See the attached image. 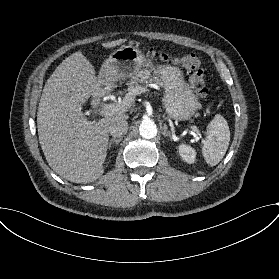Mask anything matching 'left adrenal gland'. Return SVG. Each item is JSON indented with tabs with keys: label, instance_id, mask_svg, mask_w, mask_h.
<instances>
[{
	"label": "left adrenal gland",
	"instance_id": "1",
	"mask_svg": "<svg viewBox=\"0 0 279 279\" xmlns=\"http://www.w3.org/2000/svg\"><path fill=\"white\" fill-rule=\"evenodd\" d=\"M162 135H163L164 137H171V139H172V135H171V133H170L169 131H167V127H163V129H162Z\"/></svg>",
	"mask_w": 279,
	"mask_h": 279
}]
</instances>
